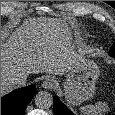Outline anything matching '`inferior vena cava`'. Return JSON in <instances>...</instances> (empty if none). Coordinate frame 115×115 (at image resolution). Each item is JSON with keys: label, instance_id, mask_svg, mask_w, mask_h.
I'll list each match as a JSON object with an SVG mask.
<instances>
[{"label": "inferior vena cava", "instance_id": "602c4592", "mask_svg": "<svg viewBox=\"0 0 115 115\" xmlns=\"http://www.w3.org/2000/svg\"><path fill=\"white\" fill-rule=\"evenodd\" d=\"M27 77L28 75L25 73H20L19 75H17L13 82L16 86L21 87V86H25L26 82H27Z\"/></svg>", "mask_w": 115, "mask_h": 115}]
</instances>
